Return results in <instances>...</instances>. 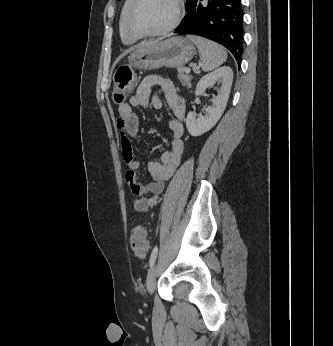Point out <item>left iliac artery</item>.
Wrapping results in <instances>:
<instances>
[{"instance_id": "left-iliac-artery-1", "label": "left iliac artery", "mask_w": 333, "mask_h": 346, "mask_svg": "<svg viewBox=\"0 0 333 346\" xmlns=\"http://www.w3.org/2000/svg\"><path fill=\"white\" fill-rule=\"evenodd\" d=\"M157 254H158V247L155 246L152 253H151L150 260H149L150 267H152L153 264L155 263L156 258H157Z\"/></svg>"}]
</instances>
